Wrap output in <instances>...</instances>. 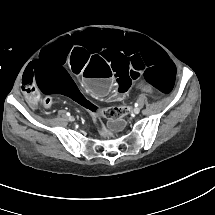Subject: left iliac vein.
I'll return each instance as SVG.
<instances>
[{
    "mask_svg": "<svg viewBox=\"0 0 215 215\" xmlns=\"http://www.w3.org/2000/svg\"><path fill=\"white\" fill-rule=\"evenodd\" d=\"M134 114H138L140 112V109L139 108H134V110L132 111Z\"/></svg>",
    "mask_w": 215,
    "mask_h": 215,
    "instance_id": "1",
    "label": "left iliac vein"
}]
</instances>
